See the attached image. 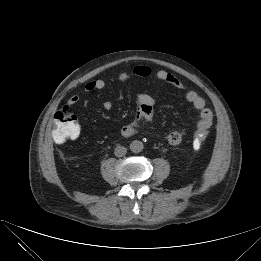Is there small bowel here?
<instances>
[{"label": "small bowel", "instance_id": "small-bowel-1", "mask_svg": "<svg viewBox=\"0 0 261 261\" xmlns=\"http://www.w3.org/2000/svg\"><path fill=\"white\" fill-rule=\"evenodd\" d=\"M130 75L140 76V77H149L154 75L159 83H168L178 89H184V83L178 79L176 76L165 70H159L156 73H153L151 68L145 65H139L132 69L131 72H121L118 74V79L120 81H127ZM106 86L105 80L93 79L85 83L84 89L87 92L95 90H103ZM138 109L136 114V121L131 122L121 129L122 136L128 138L133 136L137 131V121L149 122L153 118L155 99L151 95L145 93H137L135 95ZM187 102H189L196 110L199 111V120L197 122L196 128L198 130L209 129L212 125L213 114L210 109L206 107V102L202 96H200L194 90H188L185 94ZM79 102V96L73 95L68 99V105L74 106ZM103 108L105 110H110L112 108V103L110 101H105L103 103ZM186 132L183 130H173L166 135V140L171 145H178L182 142Z\"/></svg>", "mask_w": 261, "mask_h": 261}]
</instances>
